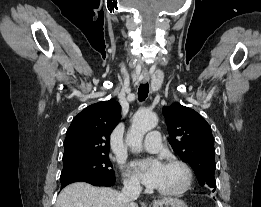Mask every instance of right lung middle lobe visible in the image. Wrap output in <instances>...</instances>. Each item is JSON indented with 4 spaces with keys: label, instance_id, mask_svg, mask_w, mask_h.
<instances>
[{
    "label": "right lung middle lobe",
    "instance_id": "1",
    "mask_svg": "<svg viewBox=\"0 0 261 207\" xmlns=\"http://www.w3.org/2000/svg\"><path fill=\"white\" fill-rule=\"evenodd\" d=\"M108 155L84 156L63 161L60 181L80 177H114L115 173Z\"/></svg>",
    "mask_w": 261,
    "mask_h": 207
}]
</instances>
